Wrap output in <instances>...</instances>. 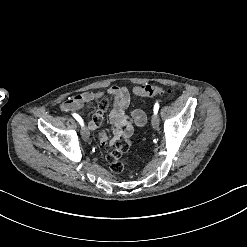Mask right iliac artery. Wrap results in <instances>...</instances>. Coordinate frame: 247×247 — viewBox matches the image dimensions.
Segmentation results:
<instances>
[{"mask_svg":"<svg viewBox=\"0 0 247 247\" xmlns=\"http://www.w3.org/2000/svg\"><path fill=\"white\" fill-rule=\"evenodd\" d=\"M72 115L79 122V124L83 127L84 126V123H83L82 118L78 114H76V113H73Z\"/></svg>","mask_w":247,"mask_h":247,"instance_id":"82829eb1","label":"right iliac artery"}]
</instances>
